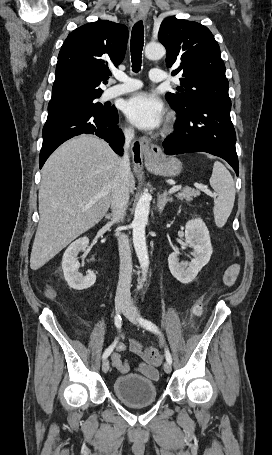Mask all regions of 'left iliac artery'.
Returning <instances> with one entry per match:
<instances>
[{
	"label": "left iliac artery",
	"instance_id": "obj_1",
	"mask_svg": "<svg viewBox=\"0 0 272 455\" xmlns=\"http://www.w3.org/2000/svg\"><path fill=\"white\" fill-rule=\"evenodd\" d=\"M139 322L147 330H149L151 332H154L156 334H160V331H159L158 327L154 323H152L151 321L143 319V318H140ZM165 355H166V361L171 364L172 363V357H171V354H170V352H169V350L167 348L165 349Z\"/></svg>",
	"mask_w": 272,
	"mask_h": 455
}]
</instances>
